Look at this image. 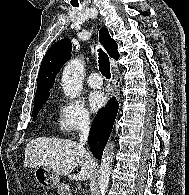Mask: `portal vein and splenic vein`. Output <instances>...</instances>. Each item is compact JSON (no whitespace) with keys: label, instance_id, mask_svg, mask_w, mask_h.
Masks as SVG:
<instances>
[{"label":"portal vein and splenic vein","instance_id":"1","mask_svg":"<svg viewBox=\"0 0 189 195\" xmlns=\"http://www.w3.org/2000/svg\"><path fill=\"white\" fill-rule=\"evenodd\" d=\"M68 195H72V193H68Z\"/></svg>","mask_w":189,"mask_h":195}]
</instances>
